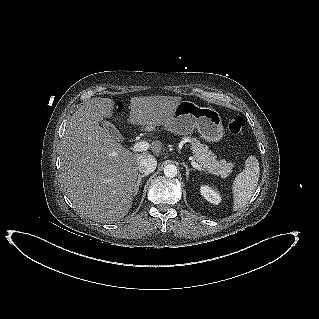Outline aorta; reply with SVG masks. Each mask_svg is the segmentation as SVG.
<instances>
[{"label": "aorta", "mask_w": 319, "mask_h": 319, "mask_svg": "<svg viewBox=\"0 0 319 319\" xmlns=\"http://www.w3.org/2000/svg\"><path fill=\"white\" fill-rule=\"evenodd\" d=\"M164 174L168 178H173L177 175V167L173 164H167L164 167Z\"/></svg>", "instance_id": "762f6f07"}]
</instances>
